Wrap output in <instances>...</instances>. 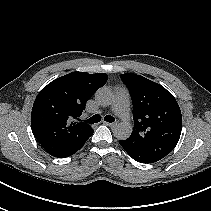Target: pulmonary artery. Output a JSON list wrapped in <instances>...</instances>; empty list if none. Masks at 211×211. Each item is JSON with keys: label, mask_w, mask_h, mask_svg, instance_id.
I'll list each match as a JSON object with an SVG mask.
<instances>
[{"label": "pulmonary artery", "mask_w": 211, "mask_h": 211, "mask_svg": "<svg viewBox=\"0 0 211 211\" xmlns=\"http://www.w3.org/2000/svg\"><path fill=\"white\" fill-rule=\"evenodd\" d=\"M129 105L130 102L127 89L122 87L118 88L116 92L115 103L112 107V110L125 123H128L130 121Z\"/></svg>", "instance_id": "1"}]
</instances>
